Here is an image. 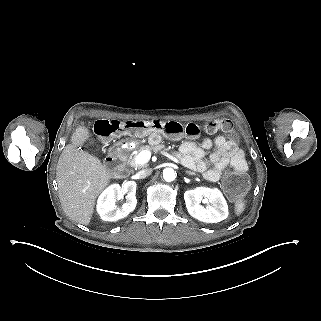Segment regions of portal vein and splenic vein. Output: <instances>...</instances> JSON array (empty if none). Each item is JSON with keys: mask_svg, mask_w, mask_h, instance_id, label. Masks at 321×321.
<instances>
[{"mask_svg": "<svg viewBox=\"0 0 321 321\" xmlns=\"http://www.w3.org/2000/svg\"><path fill=\"white\" fill-rule=\"evenodd\" d=\"M151 158V152L147 150L141 151L135 158V163L139 165H143L149 162Z\"/></svg>", "mask_w": 321, "mask_h": 321, "instance_id": "1", "label": "portal vein and splenic vein"}]
</instances>
